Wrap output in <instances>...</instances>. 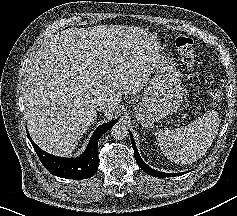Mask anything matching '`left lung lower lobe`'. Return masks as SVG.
Returning a JSON list of instances; mask_svg holds the SVG:
<instances>
[{
  "label": "left lung lower lobe",
  "mask_w": 237,
  "mask_h": 216,
  "mask_svg": "<svg viewBox=\"0 0 237 216\" xmlns=\"http://www.w3.org/2000/svg\"><path fill=\"white\" fill-rule=\"evenodd\" d=\"M130 136H131V143H132V147L134 149V154H135V159H136V162L137 164L139 165V167L147 174L153 176V177H175V176H180V175H183V174H186V172H183V173H163V172H159L157 170H154L152 168H150L140 157L139 153H138V150L136 148V145H135V141H134V138H133V135L132 133L130 132ZM190 172V171H188Z\"/></svg>",
  "instance_id": "left-lung-lower-lobe-1"
}]
</instances>
